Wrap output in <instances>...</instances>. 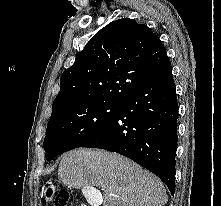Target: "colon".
<instances>
[{
    "label": "colon",
    "instance_id": "5ec220e1",
    "mask_svg": "<svg viewBox=\"0 0 221 206\" xmlns=\"http://www.w3.org/2000/svg\"><path fill=\"white\" fill-rule=\"evenodd\" d=\"M69 193L65 190L58 192L52 206H68Z\"/></svg>",
    "mask_w": 221,
    "mask_h": 206
}]
</instances>
